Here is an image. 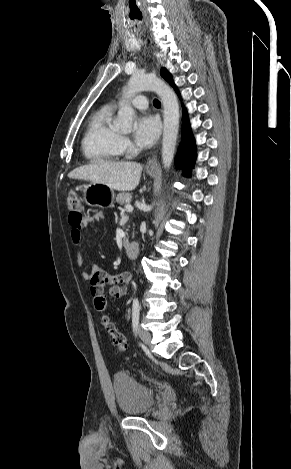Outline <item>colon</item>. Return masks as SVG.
<instances>
[{
    "label": "colon",
    "mask_w": 291,
    "mask_h": 469,
    "mask_svg": "<svg viewBox=\"0 0 291 469\" xmlns=\"http://www.w3.org/2000/svg\"><path fill=\"white\" fill-rule=\"evenodd\" d=\"M67 208L70 215L81 218L83 217V205L80 195L76 191H70L67 195ZM108 295L106 293H98L92 301V306L96 311L102 313L101 323L105 330L111 336L113 346L118 353H123L127 348L125 336L116 328L115 324L104 313L106 310Z\"/></svg>",
    "instance_id": "colon-1"
}]
</instances>
